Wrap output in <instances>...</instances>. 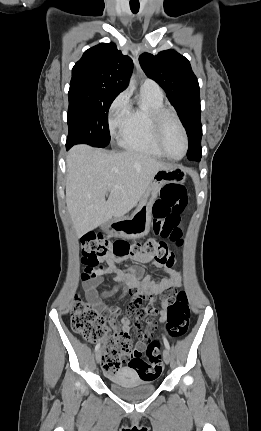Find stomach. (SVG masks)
Returning a JSON list of instances; mask_svg holds the SVG:
<instances>
[{
	"mask_svg": "<svg viewBox=\"0 0 261 431\" xmlns=\"http://www.w3.org/2000/svg\"><path fill=\"white\" fill-rule=\"evenodd\" d=\"M187 171L183 167L170 166L158 171L131 216L115 218L104 223L101 228L110 236L140 238L148 234L152 219V208L161 188L169 183H183Z\"/></svg>",
	"mask_w": 261,
	"mask_h": 431,
	"instance_id": "1",
	"label": "stomach"
}]
</instances>
